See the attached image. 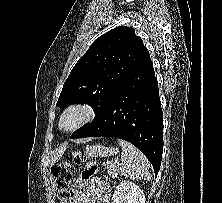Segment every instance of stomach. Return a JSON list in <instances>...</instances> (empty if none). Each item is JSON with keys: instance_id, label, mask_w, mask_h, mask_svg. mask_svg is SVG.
<instances>
[{"instance_id": "0dacf381", "label": "stomach", "mask_w": 222, "mask_h": 203, "mask_svg": "<svg viewBox=\"0 0 222 203\" xmlns=\"http://www.w3.org/2000/svg\"><path fill=\"white\" fill-rule=\"evenodd\" d=\"M115 153L114 148L105 147L101 145H94V146H88L86 148V155L91 157H97V156H111Z\"/></svg>"}]
</instances>
